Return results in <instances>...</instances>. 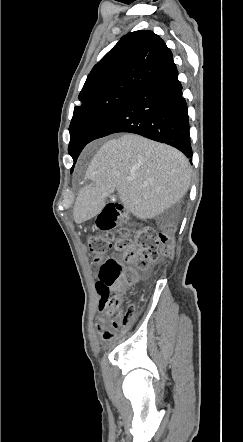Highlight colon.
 Segmentation results:
<instances>
[{"instance_id": "5ec220e1", "label": "colon", "mask_w": 243, "mask_h": 442, "mask_svg": "<svg viewBox=\"0 0 243 442\" xmlns=\"http://www.w3.org/2000/svg\"><path fill=\"white\" fill-rule=\"evenodd\" d=\"M131 220L118 200H109L95 220L98 232L88 241L98 281L96 290L100 296L99 308L108 307L115 319L104 335V340L112 339L120 328H127L135 318L136 309L128 304L124 309L123 294L127 287L137 281V271L124 269L123 264L109 255L112 247L121 254L125 264H135L137 270L146 272L150 262L160 257H171L174 251V237L168 230L145 227L130 237L128 226ZM120 227L118 236L113 230Z\"/></svg>"}]
</instances>
